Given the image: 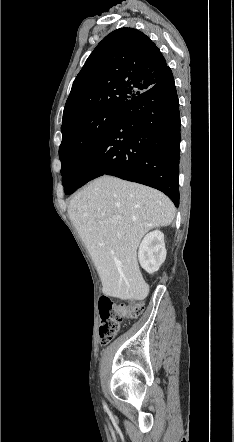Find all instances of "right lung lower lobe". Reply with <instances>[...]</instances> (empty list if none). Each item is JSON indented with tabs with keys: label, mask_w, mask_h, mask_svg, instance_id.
<instances>
[{
	"label": "right lung lower lobe",
	"mask_w": 234,
	"mask_h": 442,
	"mask_svg": "<svg viewBox=\"0 0 234 442\" xmlns=\"http://www.w3.org/2000/svg\"><path fill=\"white\" fill-rule=\"evenodd\" d=\"M180 113L171 69L124 104L105 136L70 171L65 194L104 174L164 192L179 206Z\"/></svg>",
	"instance_id": "1"
}]
</instances>
